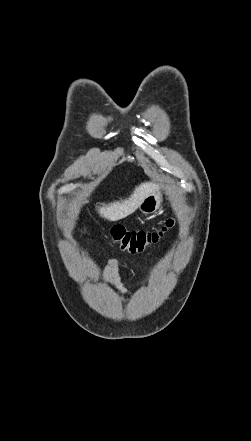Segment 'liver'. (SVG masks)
I'll list each match as a JSON object with an SVG mask.
<instances>
[{
	"mask_svg": "<svg viewBox=\"0 0 251 441\" xmlns=\"http://www.w3.org/2000/svg\"><path fill=\"white\" fill-rule=\"evenodd\" d=\"M158 190V185L152 182L141 183L134 189V192L128 199L120 202H113L108 205L103 204L98 207V213L104 219L109 221H116L133 213L140 205V203L151 193Z\"/></svg>",
	"mask_w": 251,
	"mask_h": 441,
	"instance_id": "1",
	"label": "liver"
}]
</instances>
